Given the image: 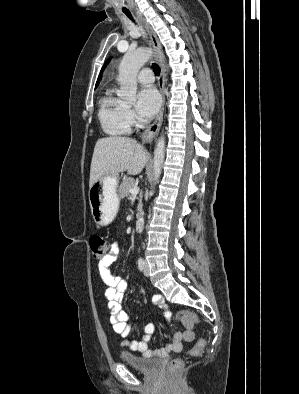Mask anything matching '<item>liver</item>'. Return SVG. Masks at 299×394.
<instances>
[{"instance_id":"6515ba94","label":"liver","mask_w":299,"mask_h":394,"mask_svg":"<svg viewBox=\"0 0 299 394\" xmlns=\"http://www.w3.org/2000/svg\"><path fill=\"white\" fill-rule=\"evenodd\" d=\"M149 160V154L135 139L109 136L97 140L91 161L89 187L105 176L127 171L139 174Z\"/></svg>"}]
</instances>
